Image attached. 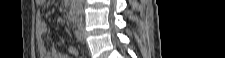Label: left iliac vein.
<instances>
[{"mask_svg": "<svg viewBox=\"0 0 225 58\" xmlns=\"http://www.w3.org/2000/svg\"><path fill=\"white\" fill-rule=\"evenodd\" d=\"M77 33H78V38L80 40H84L85 39V30H84V23L83 20H79L78 22V29H77Z\"/></svg>", "mask_w": 225, "mask_h": 58, "instance_id": "1", "label": "left iliac vein"}]
</instances>
